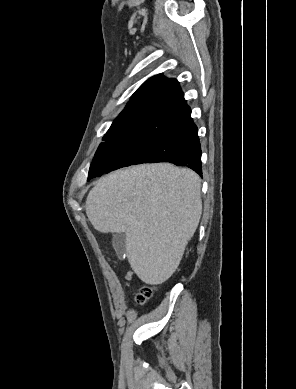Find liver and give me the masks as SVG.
<instances>
[{
  "label": "liver",
  "mask_w": 296,
  "mask_h": 389,
  "mask_svg": "<svg viewBox=\"0 0 296 389\" xmlns=\"http://www.w3.org/2000/svg\"><path fill=\"white\" fill-rule=\"evenodd\" d=\"M85 210L97 231L125 233L127 259L141 281L162 284L199 224L200 178L170 163L118 170L97 181Z\"/></svg>",
  "instance_id": "obj_1"
}]
</instances>
